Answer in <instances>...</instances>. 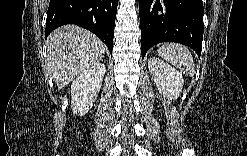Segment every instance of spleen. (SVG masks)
Returning <instances> with one entry per match:
<instances>
[{"label":"spleen","mask_w":247,"mask_h":156,"mask_svg":"<svg viewBox=\"0 0 247 156\" xmlns=\"http://www.w3.org/2000/svg\"><path fill=\"white\" fill-rule=\"evenodd\" d=\"M159 55L191 77L195 74L193 56L189 49L178 43H164L158 49Z\"/></svg>","instance_id":"1"}]
</instances>
